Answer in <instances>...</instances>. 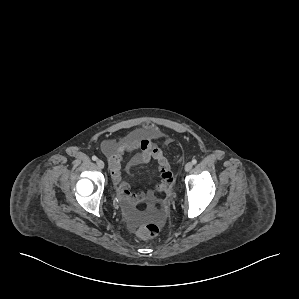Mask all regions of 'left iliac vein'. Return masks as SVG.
I'll return each mask as SVG.
<instances>
[{"mask_svg":"<svg viewBox=\"0 0 299 299\" xmlns=\"http://www.w3.org/2000/svg\"><path fill=\"white\" fill-rule=\"evenodd\" d=\"M192 167H193V164L191 162H188V163H186L184 168H185L186 172H189L192 169Z\"/></svg>","mask_w":299,"mask_h":299,"instance_id":"1","label":"left iliac vein"}]
</instances>
